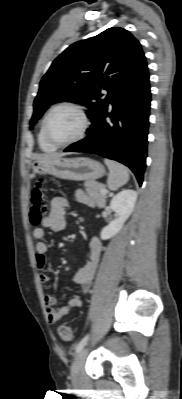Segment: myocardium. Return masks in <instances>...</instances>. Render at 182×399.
<instances>
[{"label": "myocardium", "instance_id": "myocardium-1", "mask_svg": "<svg viewBox=\"0 0 182 399\" xmlns=\"http://www.w3.org/2000/svg\"><path fill=\"white\" fill-rule=\"evenodd\" d=\"M60 108H71L73 110H75L81 117L82 119V127L80 132L77 134V136H75L74 138L65 141V142H57L55 141L49 134L48 132V123H49V119L51 117V115L58 109ZM90 127V119L89 116L86 112V110L78 103L75 102H61L55 106H53L45 115L44 119H43V135L46 139V141L51 144L52 146L59 148V147H65V146H69L71 144L77 143L80 140H82L86 133L88 132Z\"/></svg>", "mask_w": 182, "mask_h": 399}]
</instances>
